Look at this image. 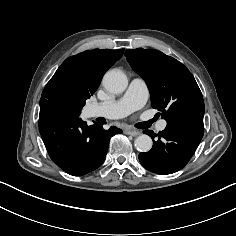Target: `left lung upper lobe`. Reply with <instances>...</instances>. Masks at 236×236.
<instances>
[{
    "label": "left lung upper lobe",
    "mask_w": 236,
    "mask_h": 236,
    "mask_svg": "<svg viewBox=\"0 0 236 236\" xmlns=\"http://www.w3.org/2000/svg\"><path fill=\"white\" fill-rule=\"evenodd\" d=\"M125 56L146 81L152 107L161 111L162 118L167 122L183 117L203 118L201 91L182 63L153 49L126 50Z\"/></svg>",
    "instance_id": "left-lung-upper-lobe-1"
}]
</instances>
